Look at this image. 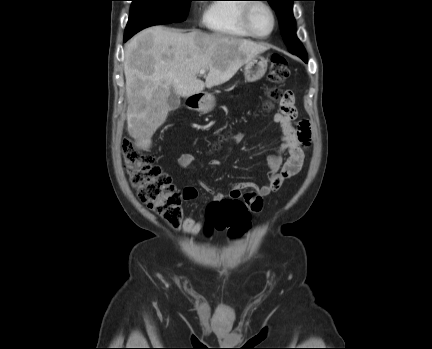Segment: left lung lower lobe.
I'll return each instance as SVG.
<instances>
[{"instance_id":"1","label":"left lung lower lobe","mask_w":432,"mask_h":349,"mask_svg":"<svg viewBox=\"0 0 432 349\" xmlns=\"http://www.w3.org/2000/svg\"><path fill=\"white\" fill-rule=\"evenodd\" d=\"M301 58V57H300ZM305 63H307L308 62V59L307 58H301Z\"/></svg>"}]
</instances>
